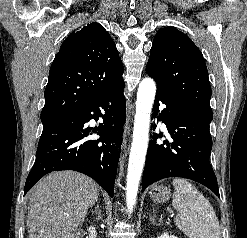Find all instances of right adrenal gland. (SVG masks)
Wrapping results in <instances>:
<instances>
[{
	"mask_svg": "<svg viewBox=\"0 0 247 238\" xmlns=\"http://www.w3.org/2000/svg\"><path fill=\"white\" fill-rule=\"evenodd\" d=\"M95 209H96V212H97V215H98L97 219H100L101 218V209H100L98 204L96 205Z\"/></svg>",
	"mask_w": 247,
	"mask_h": 238,
	"instance_id": "1",
	"label": "right adrenal gland"
}]
</instances>
